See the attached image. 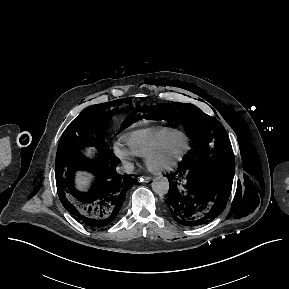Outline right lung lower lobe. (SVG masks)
Masks as SVG:
<instances>
[{
  "instance_id": "right-lung-lower-lobe-1",
  "label": "right lung lower lobe",
  "mask_w": 289,
  "mask_h": 289,
  "mask_svg": "<svg viewBox=\"0 0 289 289\" xmlns=\"http://www.w3.org/2000/svg\"><path fill=\"white\" fill-rule=\"evenodd\" d=\"M118 159L103 151L96 159L83 155L76 158L63 180H57L60 201L73 217L92 230H103L113 225L122 213L126 192L137 184L129 175H119L115 168ZM95 175V184L87 192L74 187L76 171Z\"/></svg>"
}]
</instances>
